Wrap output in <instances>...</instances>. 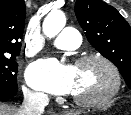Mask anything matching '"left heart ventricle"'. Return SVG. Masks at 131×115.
<instances>
[{
    "mask_svg": "<svg viewBox=\"0 0 131 115\" xmlns=\"http://www.w3.org/2000/svg\"><path fill=\"white\" fill-rule=\"evenodd\" d=\"M113 85L110 70L100 61H90L75 67L74 96L96 98L105 95Z\"/></svg>",
    "mask_w": 131,
    "mask_h": 115,
    "instance_id": "b2bd125f",
    "label": "left heart ventricle"
}]
</instances>
